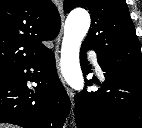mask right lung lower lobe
Listing matches in <instances>:
<instances>
[{
	"label": "right lung lower lobe",
	"mask_w": 142,
	"mask_h": 128,
	"mask_svg": "<svg viewBox=\"0 0 142 128\" xmlns=\"http://www.w3.org/2000/svg\"><path fill=\"white\" fill-rule=\"evenodd\" d=\"M28 81L37 86L30 89ZM69 112L70 101L57 76L50 49L0 80V123L62 128Z\"/></svg>",
	"instance_id": "1"
}]
</instances>
